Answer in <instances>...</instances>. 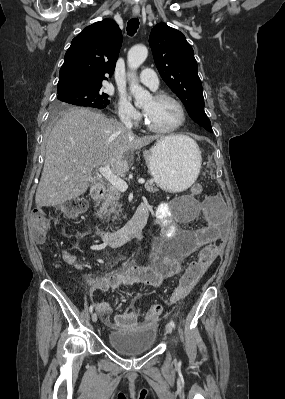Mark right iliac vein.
I'll list each match as a JSON object with an SVG mask.
<instances>
[{
    "label": "right iliac vein",
    "instance_id": "63e3f726",
    "mask_svg": "<svg viewBox=\"0 0 285 399\" xmlns=\"http://www.w3.org/2000/svg\"><path fill=\"white\" fill-rule=\"evenodd\" d=\"M91 318L93 322H96L98 319L97 313H93Z\"/></svg>",
    "mask_w": 285,
    "mask_h": 399
}]
</instances>
